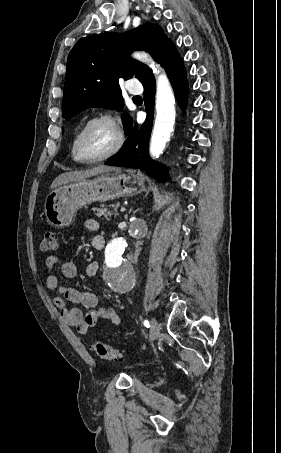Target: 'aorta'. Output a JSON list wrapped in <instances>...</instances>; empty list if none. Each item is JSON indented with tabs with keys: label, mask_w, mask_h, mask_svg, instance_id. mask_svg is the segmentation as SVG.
<instances>
[{
	"label": "aorta",
	"mask_w": 281,
	"mask_h": 453,
	"mask_svg": "<svg viewBox=\"0 0 281 453\" xmlns=\"http://www.w3.org/2000/svg\"><path fill=\"white\" fill-rule=\"evenodd\" d=\"M133 57L150 64L156 82V117L150 139L149 152L153 158H158L163 153L166 143L170 140L175 124V97L165 73L160 72V66L149 59L145 53H134ZM143 232L142 226H135L129 230L126 238L112 239L105 249V264L108 268L105 279L108 286L116 293H126L135 285V273L131 264L123 259V252L132 238L139 237Z\"/></svg>",
	"instance_id": "1"
}]
</instances>
